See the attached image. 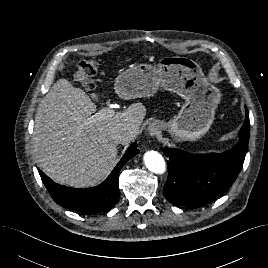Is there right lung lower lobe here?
I'll return each instance as SVG.
<instances>
[{
  "mask_svg": "<svg viewBox=\"0 0 268 268\" xmlns=\"http://www.w3.org/2000/svg\"><path fill=\"white\" fill-rule=\"evenodd\" d=\"M137 153H139L137 144H131L107 179L92 188L74 189L66 187L53 182L41 170H39V174L45 187L57 204L77 212L96 214L109 210L116 205L120 197L118 185L119 171Z\"/></svg>",
  "mask_w": 268,
  "mask_h": 268,
  "instance_id": "right-lung-lower-lobe-1",
  "label": "right lung lower lobe"
}]
</instances>
